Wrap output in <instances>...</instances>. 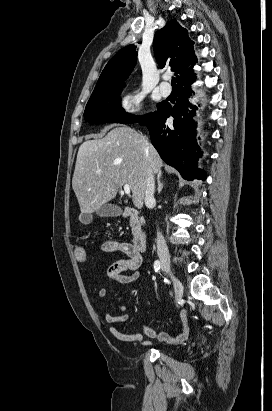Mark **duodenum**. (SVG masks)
<instances>
[{"mask_svg":"<svg viewBox=\"0 0 272 411\" xmlns=\"http://www.w3.org/2000/svg\"><path fill=\"white\" fill-rule=\"evenodd\" d=\"M138 216L137 210L126 207L122 212V217L136 219ZM132 245L138 251H144L147 246V235L143 231H136L132 236Z\"/></svg>","mask_w":272,"mask_h":411,"instance_id":"duodenum-1","label":"duodenum"}]
</instances>
